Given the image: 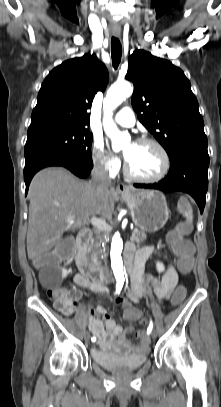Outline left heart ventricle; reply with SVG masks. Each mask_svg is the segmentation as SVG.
Masks as SVG:
<instances>
[{
  "label": "left heart ventricle",
  "mask_w": 221,
  "mask_h": 407,
  "mask_svg": "<svg viewBox=\"0 0 221 407\" xmlns=\"http://www.w3.org/2000/svg\"><path fill=\"white\" fill-rule=\"evenodd\" d=\"M124 155L131 169L143 177L159 175L164 166L160 151L150 144L130 143L124 148Z\"/></svg>",
  "instance_id": "left-heart-ventricle-1"
}]
</instances>
